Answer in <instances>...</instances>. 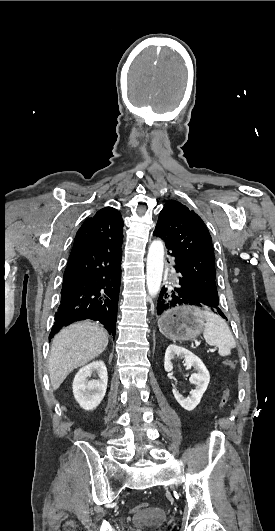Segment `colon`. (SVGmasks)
Returning <instances> with one entry per match:
<instances>
[{"label":"colon","instance_id":"1","mask_svg":"<svg viewBox=\"0 0 275 531\" xmlns=\"http://www.w3.org/2000/svg\"><path fill=\"white\" fill-rule=\"evenodd\" d=\"M224 366L226 369L228 370H234L237 366V363L235 360L233 359H227L225 360L224 362ZM219 403L222 407H226L229 405L230 403V396L228 394V390L227 389H224L223 392H222V396L219 400ZM148 505L146 503H139L136 507H134V510L136 512H142V511H145L147 509Z\"/></svg>","mask_w":275,"mask_h":531}]
</instances>
